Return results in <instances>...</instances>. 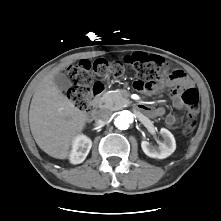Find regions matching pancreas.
Segmentation results:
<instances>
[{
    "label": "pancreas",
    "instance_id": "1",
    "mask_svg": "<svg viewBox=\"0 0 221 221\" xmlns=\"http://www.w3.org/2000/svg\"><path fill=\"white\" fill-rule=\"evenodd\" d=\"M126 98L121 91H109L102 95L99 99V106L101 108L117 110L122 107Z\"/></svg>",
    "mask_w": 221,
    "mask_h": 221
}]
</instances>
